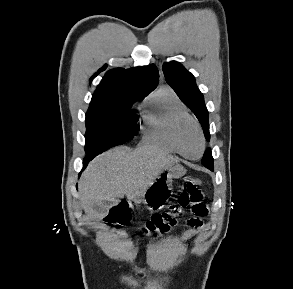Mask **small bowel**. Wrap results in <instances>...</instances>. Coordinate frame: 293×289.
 I'll list each match as a JSON object with an SVG mask.
<instances>
[{
  "instance_id": "obj_1",
  "label": "small bowel",
  "mask_w": 293,
  "mask_h": 289,
  "mask_svg": "<svg viewBox=\"0 0 293 289\" xmlns=\"http://www.w3.org/2000/svg\"><path fill=\"white\" fill-rule=\"evenodd\" d=\"M193 219L196 220V223L194 225H192L193 227H200V226H202L203 222H202L201 218L196 217V218H193Z\"/></svg>"
}]
</instances>
